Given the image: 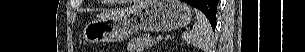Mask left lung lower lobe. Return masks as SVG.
<instances>
[{"mask_svg":"<svg viewBox=\"0 0 305 52\" xmlns=\"http://www.w3.org/2000/svg\"><path fill=\"white\" fill-rule=\"evenodd\" d=\"M188 4L198 8L204 13L205 9L215 10L217 9L218 0H184ZM213 30H215V24L211 25Z\"/></svg>","mask_w":305,"mask_h":52,"instance_id":"obj_1","label":"left lung lower lobe"}]
</instances>
